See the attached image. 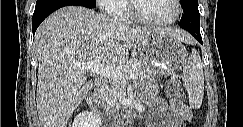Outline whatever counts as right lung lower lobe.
<instances>
[{
	"instance_id": "right-lung-lower-lobe-1",
	"label": "right lung lower lobe",
	"mask_w": 243,
	"mask_h": 127,
	"mask_svg": "<svg viewBox=\"0 0 243 127\" xmlns=\"http://www.w3.org/2000/svg\"><path fill=\"white\" fill-rule=\"evenodd\" d=\"M69 5L84 6L94 8L87 0H37L32 19V31L35 34L36 29L41 22L55 10Z\"/></svg>"
}]
</instances>
